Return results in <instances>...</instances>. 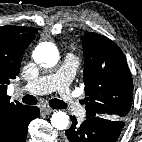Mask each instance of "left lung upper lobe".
Returning <instances> with one entry per match:
<instances>
[{
    "instance_id": "5c2ea615",
    "label": "left lung upper lobe",
    "mask_w": 142,
    "mask_h": 142,
    "mask_svg": "<svg viewBox=\"0 0 142 142\" xmlns=\"http://www.w3.org/2000/svg\"><path fill=\"white\" fill-rule=\"evenodd\" d=\"M82 47L86 117L124 120L132 104L133 80L123 52L94 32L84 35Z\"/></svg>"
}]
</instances>
